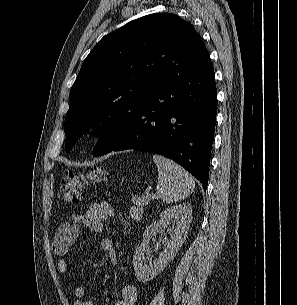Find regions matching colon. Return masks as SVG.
<instances>
[{
    "instance_id": "5ec220e1",
    "label": "colon",
    "mask_w": 297,
    "mask_h": 305,
    "mask_svg": "<svg viewBox=\"0 0 297 305\" xmlns=\"http://www.w3.org/2000/svg\"><path fill=\"white\" fill-rule=\"evenodd\" d=\"M107 178L103 167H95L87 172L69 171L61 183V195L64 202L68 204H77L81 200V188L88 184H98Z\"/></svg>"
}]
</instances>
